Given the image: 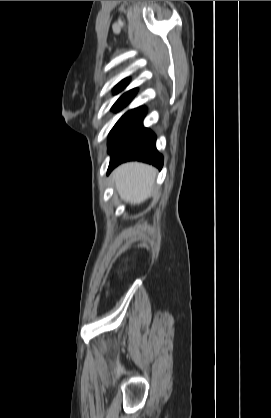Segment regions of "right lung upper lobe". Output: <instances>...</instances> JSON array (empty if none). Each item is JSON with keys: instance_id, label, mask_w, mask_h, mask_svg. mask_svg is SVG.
I'll return each mask as SVG.
<instances>
[{"instance_id": "cb5924a9", "label": "right lung upper lobe", "mask_w": 271, "mask_h": 418, "mask_svg": "<svg viewBox=\"0 0 271 418\" xmlns=\"http://www.w3.org/2000/svg\"><path fill=\"white\" fill-rule=\"evenodd\" d=\"M129 83V79L127 78V79H124V80H122L115 88H114V92L115 93H119L120 91H122L126 86H127V84ZM136 92H137V89L136 88H134V89H132V90H130V91H128V92H126V93H124L119 99H118V101H124V100H126V101H130L134 96H135V94H136Z\"/></svg>"}]
</instances>
